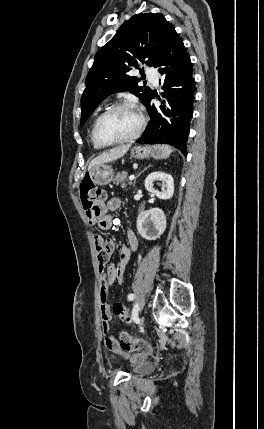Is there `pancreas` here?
Wrapping results in <instances>:
<instances>
[{
  "label": "pancreas",
  "instance_id": "1",
  "mask_svg": "<svg viewBox=\"0 0 264 429\" xmlns=\"http://www.w3.org/2000/svg\"><path fill=\"white\" fill-rule=\"evenodd\" d=\"M113 182L117 185V186H121L122 188L126 187V182H127V173L126 172H121L118 173L115 178L113 179Z\"/></svg>",
  "mask_w": 264,
  "mask_h": 429
}]
</instances>
